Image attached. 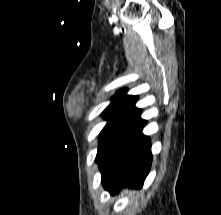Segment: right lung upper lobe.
Returning <instances> with one entry per match:
<instances>
[{"label":"right lung upper lobe","mask_w":221,"mask_h":215,"mask_svg":"<svg viewBox=\"0 0 221 215\" xmlns=\"http://www.w3.org/2000/svg\"><path fill=\"white\" fill-rule=\"evenodd\" d=\"M126 92V89L118 91L116 95L112 98V102L110 105L123 106L141 111V109L135 107L137 96L126 95Z\"/></svg>","instance_id":"obj_1"}]
</instances>
